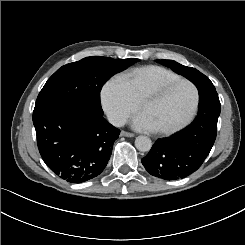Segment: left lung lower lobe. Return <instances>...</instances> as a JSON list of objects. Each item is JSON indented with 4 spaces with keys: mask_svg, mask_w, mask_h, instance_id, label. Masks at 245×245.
Here are the masks:
<instances>
[{
    "mask_svg": "<svg viewBox=\"0 0 245 245\" xmlns=\"http://www.w3.org/2000/svg\"><path fill=\"white\" fill-rule=\"evenodd\" d=\"M199 113L184 130L158 139L142 158L145 169L164 180L183 179L195 172L208 156L217 134L220 101L210 80L196 84Z\"/></svg>",
    "mask_w": 245,
    "mask_h": 245,
    "instance_id": "left-lung-lower-lobe-1",
    "label": "left lung lower lobe"
}]
</instances>
